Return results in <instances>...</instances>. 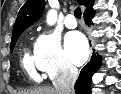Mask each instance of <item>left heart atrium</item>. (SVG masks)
Instances as JSON below:
<instances>
[{"mask_svg":"<svg viewBox=\"0 0 121 94\" xmlns=\"http://www.w3.org/2000/svg\"><path fill=\"white\" fill-rule=\"evenodd\" d=\"M65 48L68 57L75 64H82L88 57V47L85 37L80 32H70L65 38Z\"/></svg>","mask_w":121,"mask_h":94,"instance_id":"obj_1","label":"left heart atrium"}]
</instances>
